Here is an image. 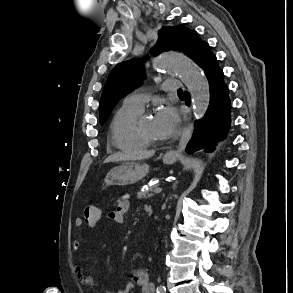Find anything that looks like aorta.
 Returning <instances> with one entry per match:
<instances>
[{
  "mask_svg": "<svg viewBox=\"0 0 293 293\" xmlns=\"http://www.w3.org/2000/svg\"><path fill=\"white\" fill-rule=\"evenodd\" d=\"M154 65L160 71L179 75L191 94L195 117L202 118L209 106L210 92L200 68L189 58L176 52L162 53L154 60Z\"/></svg>",
  "mask_w": 293,
  "mask_h": 293,
  "instance_id": "1",
  "label": "aorta"
}]
</instances>
